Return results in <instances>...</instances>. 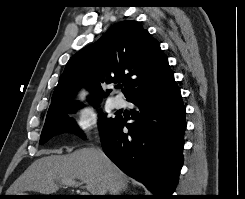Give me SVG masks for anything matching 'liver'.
Wrapping results in <instances>:
<instances>
[{"label": "liver", "mask_w": 245, "mask_h": 199, "mask_svg": "<svg viewBox=\"0 0 245 199\" xmlns=\"http://www.w3.org/2000/svg\"><path fill=\"white\" fill-rule=\"evenodd\" d=\"M79 179L91 195H120L128 177L102 152L87 147L68 155H50L33 162L14 182L8 193L20 195L34 191L50 195L59 189V181ZM106 195V194H105Z\"/></svg>", "instance_id": "1"}]
</instances>
